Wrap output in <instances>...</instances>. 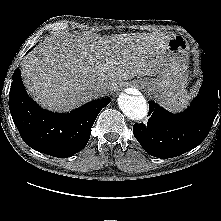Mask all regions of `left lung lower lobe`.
I'll return each instance as SVG.
<instances>
[{
  "mask_svg": "<svg viewBox=\"0 0 221 221\" xmlns=\"http://www.w3.org/2000/svg\"><path fill=\"white\" fill-rule=\"evenodd\" d=\"M201 67L203 84L190 107L172 114L150 101L147 125L134 124L135 138L150 155L163 159L179 156L194 149L208 135L221 104V76L205 54L201 55Z\"/></svg>",
  "mask_w": 221,
  "mask_h": 221,
  "instance_id": "obj_1",
  "label": "left lung lower lobe"
}]
</instances>
